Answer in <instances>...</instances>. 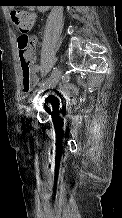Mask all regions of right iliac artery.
Wrapping results in <instances>:
<instances>
[{
    "instance_id": "obj_1",
    "label": "right iliac artery",
    "mask_w": 122,
    "mask_h": 218,
    "mask_svg": "<svg viewBox=\"0 0 122 218\" xmlns=\"http://www.w3.org/2000/svg\"><path fill=\"white\" fill-rule=\"evenodd\" d=\"M56 71H57V69L54 68L53 71H52V73H51V76H50L44 83H42L38 89H36V90L33 92L32 96H31V98H30L31 101L34 100V99L41 93L42 89H43V88L48 84V82L55 76Z\"/></svg>"
}]
</instances>
